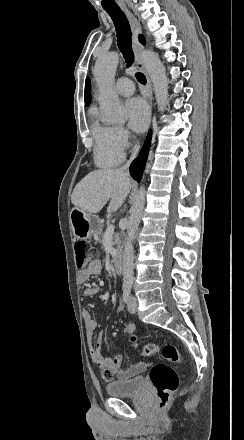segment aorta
Instances as JSON below:
<instances>
[{
    "mask_svg": "<svg viewBox=\"0 0 244 440\" xmlns=\"http://www.w3.org/2000/svg\"><path fill=\"white\" fill-rule=\"evenodd\" d=\"M141 61L153 83L158 110L164 112L168 99V79L165 67L160 61L158 55L149 50H145L141 53ZM118 62V53H108L98 58L94 69V76L99 87L98 101L102 111L103 120L112 124L124 123L126 120L124 105L119 100L114 89L115 73ZM144 205L145 187L141 186L134 196L127 226V237L122 264L124 286H132L133 284V242L141 220Z\"/></svg>",
    "mask_w": 244,
    "mask_h": 440,
    "instance_id": "762f6f07",
    "label": "aorta"
}]
</instances>
